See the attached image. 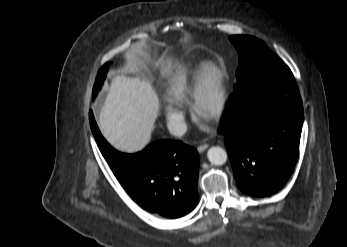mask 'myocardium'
<instances>
[{"mask_svg":"<svg viewBox=\"0 0 347 247\" xmlns=\"http://www.w3.org/2000/svg\"><path fill=\"white\" fill-rule=\"evenodd\" d=\"M228 100L222 72L214 65H208L199 75L190 93L194 113L203 120H218Z\"/></svg>","mask_w":347,"mask_h":247,"instance_id":"1","label":"myocardium"}]
</instances>
